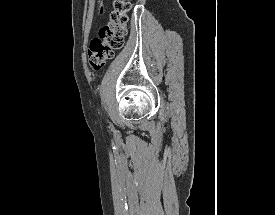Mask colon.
I'll list each match as a JSON object with an SVG mask.
<instances>
[{
	"label": "colon",
	"instance_id": "1",
	"mask_svg": "<svg viewBox=\"0 0 275 215\" xmlns=\"http://www.w3.org/2000/svg\"><path fill=\"white\" fill-rule=\"evenodd\" d=\"M113 6L109 22L100 29L99 35L88 46L87 61L94 71L103 69L123 46L131 3L129 0H114Z\"/></svg>",
	"mask_w": 275,
	"mask_h": 215
}]
</instances>
